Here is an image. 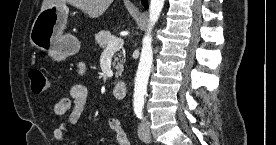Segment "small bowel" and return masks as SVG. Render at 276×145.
Wrapping results in <instances>:
<instances>
[{"mask_svg": "<svg viewBox=\"0 0 276 145\" xmlns=\"http://www.w3.org/2000/svg\"><path fill=\"white\" fill-rule=\"evenodd\" d=\"M85 66H79V73H84ZM89 93L87 88L81 84L73 85L69 90V96L60 99L54 106V114L63 116L69 109H72L67 120L54 130L56 141L62 142L67 137L73 138L70 134V128L76 125L88 102ZM108 127L114 133L117 145H130L127 133L122 128L120 120L116 117L108 119Z\"/></svg>", "mask_w": 276, "mask_h": 145, "instance_id": "1", "label": "small bowel"}]
</instances>
